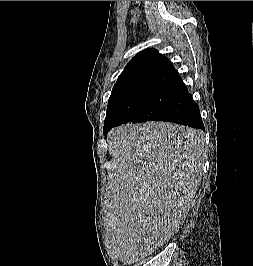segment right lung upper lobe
<instances>
[{"label":"right lung upper lobe","instance_id":"1","mask_svg":"<svg viewBox=\"0 0 253 266\" xmlns=\"http://www.w3.org/2000/svg\"><path fill=\"white\" fill-rule=\"evenodd\" d=\"M180 80L178 72L167 57L156 49H146L127 64L113 87L109 101L152 86H175Z\"/></svg>","mask_w":253,"mask_h":266}]
</instances>
